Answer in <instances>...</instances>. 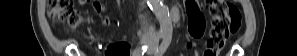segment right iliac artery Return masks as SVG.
Masks as SVG:
<instances>
[{"label":"right iliac artery","instance_id":"right-iliac-artery-1","mask_svg":"<svg viewBox=\"0 0 297 56\" xmlns=\"http://www.w3.org/2000/svg\"><path fill=\"white\" fill-rule=\"evenodd\" d=\"M161 38V35L159 36ZM148 49V45H143L134 50L133 56H142Z\"/></svg>","mask_w":297,"mask_h":56}]
</instances>
